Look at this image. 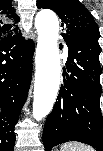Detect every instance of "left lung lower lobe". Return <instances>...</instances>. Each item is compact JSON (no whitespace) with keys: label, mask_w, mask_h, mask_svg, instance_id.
I'll return each mask as SVG.
<instances>
[{"label":"left lung lower lobe","mask_w":103,"mask_h":151,"mask_svg":"<svg viewBox=\"0 0 103 151\" xmlns=\"http://www.w3.org/2000/svg\"><path fill=\"white\" fill-rule=\"evenodd\" d=\"M69 48L58 99L43 132L46 151L68 141H79L103 151L100 109L101 67L97 40L63 36Z\"/></svg>","instance_id":"left-lung-lower-lobe-1"}]
</instances>
